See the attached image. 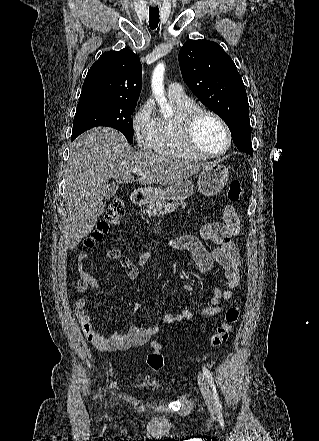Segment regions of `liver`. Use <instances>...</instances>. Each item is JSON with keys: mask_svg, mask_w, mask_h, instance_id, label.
<instances>
[{"mask_svg": "<svg viewBox=\"0 0 319 441\" xmlns=\"http://www.w3.org/2000/svg\"><path fill=\"white\" fill-rule=\"evenodd\" d=\"M208 164L133 151L122 133L108 127H96L81 134L70 144L66 168V248L74 249L103 214L109 179L131 183L133 170L140 168L141 177L137 180L140 184L175 185Z\"/></svg>", "mask_w": 319, "mask_h": 441, "instance_id": "liver-1", "label": "liver"}]
</instances>
